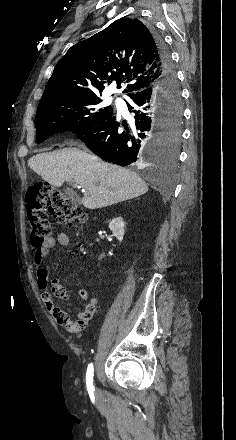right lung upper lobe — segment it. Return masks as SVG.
<instances>
[{"label": "right lung upper lobe", "mask_w": 236, "mask_h": 440, "mask_svg": "<svg viewBox=\"0 0 236 440\" xmlns=\"http://www.w3.org/2000/svg\"><path fill=\"white\" fill-rule=\"evenodd\" d=\"M161 74L150 29L137 19L122 17L68 50L55 66L41 101L74 94L98 96L114 80L117 88L127 83L123 92L130 95L156 83Z\"/></svg>", "instance_id": "1"}]
</instances>
